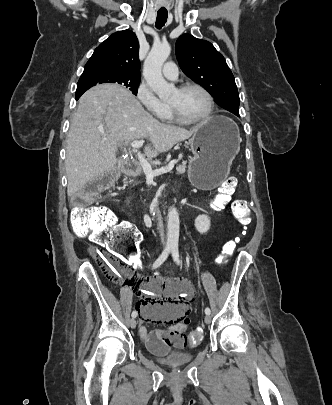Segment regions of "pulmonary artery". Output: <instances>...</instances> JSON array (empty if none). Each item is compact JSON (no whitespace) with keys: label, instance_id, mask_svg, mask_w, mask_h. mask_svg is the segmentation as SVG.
Instances as JSON below:
<instances>
[{"label":"pulmonary artery","instance_id":"1","mask_svg":"<svg viewBox=\"0 0 332 405\" xmlns=\"http://www.w3.org/2000/svg\"><path fill=\"white\" fill-rule=\"evenodd\" d=\"M162 72L163 75L170 80H176L178 78V68L173 62H167Z\"/></svg>","mask_w":332,"mask_h":405}]
</instances>
